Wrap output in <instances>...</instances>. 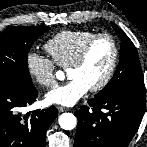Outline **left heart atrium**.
Returning <instances> with one entry per match:
<instances>
[{
    "label": "left heart atrium",
    "instance_id": "left-heart-atrium-1",
    "mask_svg": "<svg viewBox=\"0 0 147 147\" xmlns=\"http://www.w3.org/2000/svg\"><path fill=\"white\" fill-rule=\"evenodd\" d=\"M89 86L80 79H70L46 93L45 101L50 105L73 106L89 91Z\"/></svg>",
    "mask_w": 147,
    "mask_h": 147
}]
</instances>
